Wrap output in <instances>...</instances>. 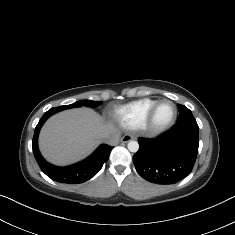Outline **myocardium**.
Masks as SVG:
<instances>
[{
	"label": "myocardium",
	"mask_w": 235,
	"mask_h": 235,
	"mask_svg": "<svg viewBox=\"0 0 235 235\" xmlns=\"http://www.w3.org/2000/svg\"><path fill=\"white\" fill-rule=\"evenodd\" d=\"M166 101L171 102L174 105L175 114H174L173 118L168 123H166L165 125H162V126H158L155 122V114H156V111H157V108L159 107V105L163 102H166ZM177 117H178V107H177L176 102L171 99L162 98L160 100H157L154 103V105L152 106V108L147 116L146 122H145V129L151 135H158V134L164 133L175 124Z\"/></svg>",
	"instance_id": "1"
}]
</instances>
